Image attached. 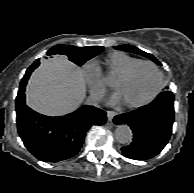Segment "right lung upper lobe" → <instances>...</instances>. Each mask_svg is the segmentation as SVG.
Instances as JSON below:
<instances>
[{
  "label": "right lung upper lobe",
  "mask_w": 194,
  "mask_h": 193,
  "mask_svg": "<svg viewBox=\"0 0 194 193\" xmlns=\"http://www.w3.org/2000/svg\"><path fill=\"white\" fill-rule=\"evenodd\" d=\"M99 46H89V47H83L82 49H94V48H98ZM51 50L52 49H50L49 51H48V55H54V53L53 52H51ZM39 64H40V62H39V59H37L29 68H28V70L26 71V74H25V76L23 77V79H22V82H21V84L20 85H23L24 86V84L25 83H27V81H28V79H29V77H30V74L34 71V69H36L38 66H39Z\"/></svg>",
  "instance_id": "cb5924a9"
}]
</instances>
